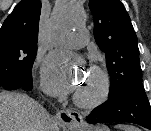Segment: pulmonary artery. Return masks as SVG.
Here are the masks:
<instances>
[{
    "label": "pulmonary artery",
    "mask_w": 151,
    "mask_h": 131,
    "mask_svg": "<svg viewBox=\"0 0 151 131\" xmlns=\"http://www.w3.org/2000/svg\"><path fill=\"white\" fill-rule=\"evenodd\" d=\"M89 42V33L85 29H77L71 32L63 40V45L67 47H83Z\"/></svg>",
    "instance_id": "pulmonary-artery-1"
}]
</instances>
